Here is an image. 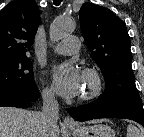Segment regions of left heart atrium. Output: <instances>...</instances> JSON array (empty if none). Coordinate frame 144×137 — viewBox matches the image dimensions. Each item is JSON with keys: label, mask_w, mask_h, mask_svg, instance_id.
<instances>
[{"label": "left heart atrium", "mask_w": 144, "mask_h": 137, "mask_svg": "<svg viewBox=\"0 0 144 137\" xmlns=\"http://www.w3.org/2000/svg\"><path fill=\"white\" fill-rule=\"evenodd\" d=\"M53 79L57 93L64 98H74L81 92L82 74L72 64L55 68Z\"/></svg>", "instance_id": "39dd6f15"}]
</instances>
